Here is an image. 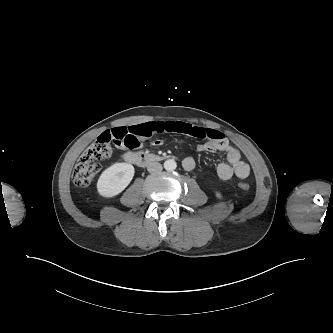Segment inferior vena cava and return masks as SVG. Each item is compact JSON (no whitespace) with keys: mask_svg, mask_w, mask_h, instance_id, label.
Returning a JSON list of instances; mask_svg holds the SVG:
<instances>
[{"mask_svg":"<svg viewBox=\"0 0 333 333\" xmlns=\"http://www.w3.org/2000/svg\"><path fill=\"white\" fill-rule=\"evenodd\" d=\"M163 169L162 165L158 162L150 163L147 167L149 173L161 172Z\"/></svg>","mask_w":333,"mask_h":333,"instance_id":"obj_1","label":"inferior vena cava"}]
</instances>
